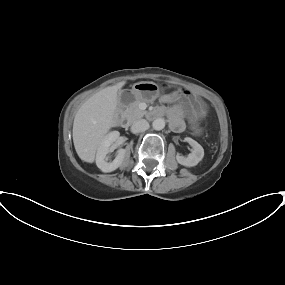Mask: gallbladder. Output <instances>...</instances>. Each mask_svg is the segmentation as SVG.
Returning a JSON list of instances; mask_svg holds the SVG:
<instances>
[{
  "label": "gallbladder",
  "instance_id": "obj_1",
  "mask_svg": "<svg viewBox=\"0 0 285 285\" xmlns=\"http://www.w3.org/2000/svg\"><path fill=\"white\" fill-rule=\"evenodd\" d=\"M126 95V92H123L120 96H121V99H123V97Z\"/></svg>",
  "mask_w": 285,
  "mask_h": 285
}]
</instances>
